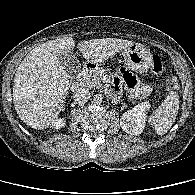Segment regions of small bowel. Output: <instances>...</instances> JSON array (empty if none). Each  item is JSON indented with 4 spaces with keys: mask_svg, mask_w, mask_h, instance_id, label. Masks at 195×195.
Masks as SVG:
<instances>
[{
    "mask_svg": "<svg viewBox=\"0 0 195 195\" xmlns=\"http://www.w3.org/2000/svg\"><path fill=\"white\" fill-rule=\"evenodd\" d=\"M121 78L125 82L129 93L134 97L144 96L150 91L147 85H140L134 75L125 69L120 71Z\"/></svg>",
    "mask_w": 195,
    "mask_h": 195,
    "instance_id": "1",
    "label": "small bowel"
}]
</instances>
